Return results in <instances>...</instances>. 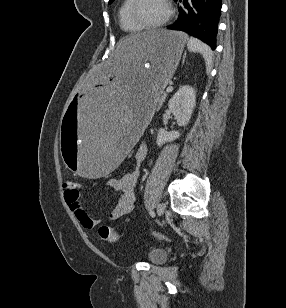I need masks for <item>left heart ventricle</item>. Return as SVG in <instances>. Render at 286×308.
<instances>
[{
	"label": "left heart ventricle",
	"mask_w": 286,
	"mask_h": 308,
	"mask_svg": "<svg viewBox=\"0 0 286 308\" xmlns=\"http://www.w3.org/2000/svg\"><path fill=\"white\" fill-rule=\"evenodd\" d=\"M164 0H140L137 15L141 21L148 24L157 23L166 15Z\"/></svg>",
	"instance_id": "obj_1"
}]
</instances>
